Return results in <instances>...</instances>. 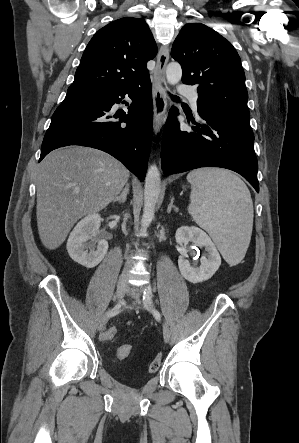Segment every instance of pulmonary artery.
<instances>
[{"instance_id": "obj_1", "label": "pulmonary artery", "mask_w": 299, "mask_h": 443, "mask_svg": "<svg viewBox=\"0 0 299 443\" xmlns=\"http://www.w3.org/2000/svg\"><path fill=\"white\" fill-rule=\"evenodd\" d=\"M179 93L185 97H187L192 104V108L193 110L196 112L197 111V101H198V95L196 93V91L189 86H182L179 89Z\"/></svg>"}]
</instances>
